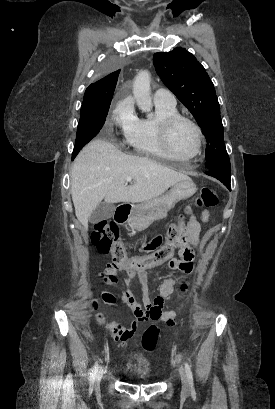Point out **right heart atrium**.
<instances>
[{"label":"right heart atrium","instance_id":"1","mask_svg":"<svg viewBox=\"0 0 275 409\" xmlns=\"http://www.w3.org/2000/svg\"><path fill=\"white\" fill-rule=\"evenodd\" d=\"M112 123L118 128L120 135L129 141L134 128L137 124V117L134 113L133 104L131 101H124L116 106L112 114ZM115 143H123L117 141Z\"/></svg>","mask_w":275,"mask_h":409}]
</instances>
